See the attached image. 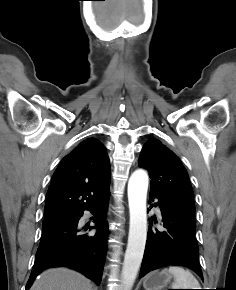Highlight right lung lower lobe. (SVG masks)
Returning <instances> with one entry per match:
<instances>
[{"label": "right lung lower lobe", "instance_id": "obj_1", "mask_svg": "<svg viewBox=\"0 0 236 290\" xmlns=\"http://www.w3.org/2000/svg\"><path fill=\"white\" fill-rule=\"evenodd\" d=\"M109 197L110 191L99 203L89 208L95 215L96 226L84 228L78 226L83 210L67 222L42 230L41 241L26 290L31 287L36 276L43 270L58 266L75 269L100 284L108 236L106 208ZM87 229H97V231L89 233L86 232Z\"/></svg>", "mask_w": 236, "mask_h": 290}]
</instances>
